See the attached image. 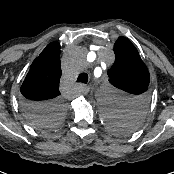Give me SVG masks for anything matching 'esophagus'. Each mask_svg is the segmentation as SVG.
Listing matches in <instances>:
<instances>
[{
    "label": "esophagus",
    "instance_id": "esophagus-1",
    "mask_svg": "<svg viewBox=\"0 0 174 174\" xmlns=\"http://www.w3.org/2000/svg\"><path fill=\"white\" fill-rule=\"evenodd\" d=\"M89 90H90V87L89 86H86V85L82 86V92L84 94H87L89 92Z\"/></svg>",
    "mask_w": 174,
    "mask_h": 174
}]
</instances>
